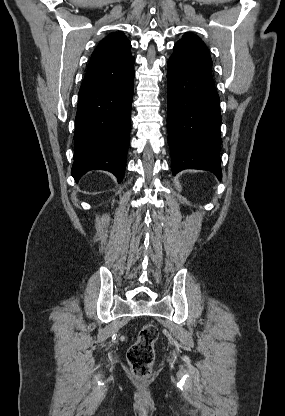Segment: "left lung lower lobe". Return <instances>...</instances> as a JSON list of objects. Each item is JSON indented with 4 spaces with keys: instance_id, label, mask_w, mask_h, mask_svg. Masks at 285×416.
<instances>
[{
    "instance_id": "obj_1",
    "label": "left lung lower lobe",
    "mask_w": 285,
    "mask_h": 416,
    "mask_svg": "<svg viewBox=\"0 0 285 416\" xmlns=\"http://www.w3.org/2000/svg\"><path fill=\"white\" fill-rule=\"evenodd\" d=\"M167 80L173 174L199 169L210 171L221 180L220 99L213 78L170 58Z\"/></svg>"
}]
</instances>
